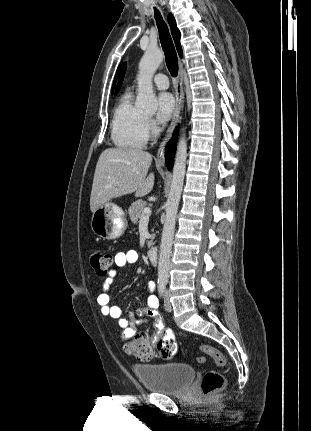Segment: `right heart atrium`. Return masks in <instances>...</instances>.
Wrapping results in <instances>:
<instances>
[{
    "instance_id": "1",
    "label": "right heart atrium",
    "mask_w": 311,
    "mask_h": 431,
    "mask_svg": "<svg viewBox=\"0 0 311 431\" xmlns=\"http://www.w3.org/2000/svg\"><path fill=\"white\" fill-rule=\"evenodd\" d=\"M147 124L150 132L154 133L157 131V125L152 118L147 119Z\"/></svg>"
}]
</instances>
